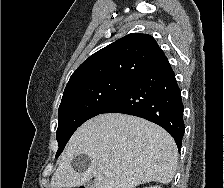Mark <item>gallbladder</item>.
I'll list each match as a JSON object with an SVG mask.
<instances>
[{"mask_svg":"<svg viewBox=\"0 0 224 188\" xmlns=\"http://www.w3.org/2000/svg\"><path fill=\"white\" fill-rule=\"evenodd\" d=\"M85 188H94V184H93V181H90V182H85Z\"/></svg>","mask_w":224,"mask_h":188,"instance_id":"bac80fb5","label":"gallbladder"}]
</instances>
